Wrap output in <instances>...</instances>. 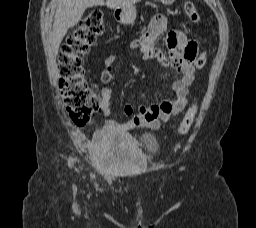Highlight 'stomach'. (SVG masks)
Here are the masks:
<instances>
[{"label": "stomach", "instance_id": "1", "mask_svg": "<svg viewBox=\"0 0 256 228\" xmlns=\"http://www.w3.org/2000/svg\"><path fill=\"white\" fill-rule=\"evenodd\" d=\"M160 2L164 5H171L175 0H160ZM136 8L133 5L117 8L114 11L115 19L123 24H131L136 19Z\"/></svg>", "mask_w": 256, "mask_h": 228}]
</instances>
